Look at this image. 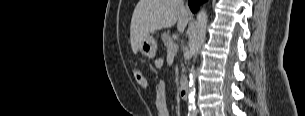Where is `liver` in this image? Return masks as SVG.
I'll use <instances>...</instances> for the list:
<instances>
[{"label": "liver", "instance_id": "6515ba94", "mask_svg": "<svg viewBox=\"0 0 305 116\" xmlns=\"http://www.w3.org/2000/svg\"><path fill=\"white\" fill-rule=\"evenodd\" d=\"M189 14L183 0H139L130 26V42L134 54L139 45L150 33L171 28L177 23L182 33L188 23Z\"/></svg>", "mask_w": 305, "mask_h": 116}]
</instances>
